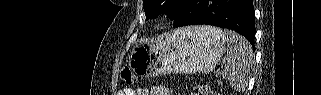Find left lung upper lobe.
Wrapping results in <instances>:
<instances>
[{"mask_svg":"<svg viewBox=\"0 0 321 95\" xmlns=\"http://www.w3.org/2000/svg\"><path fill=\"white\" fill-rule=\"evenodd\" d=\"M187 0H143L146 19H155L161 13L172 19Z\"/></svg>","mask_w":321,"mask_h":95,"instance_id":"1","label":"left lung upper lobe"}]
</instances>
